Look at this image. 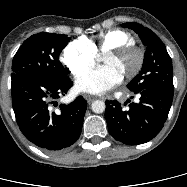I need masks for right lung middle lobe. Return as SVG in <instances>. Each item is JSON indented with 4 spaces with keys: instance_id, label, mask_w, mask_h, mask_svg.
Masks as SVG:
<instances>
[{
    "instance_id": "1",
    "label": "right lung middle lobe",
    "mask_w": 187,
    "mask_h": 187,
    "mask_svg": "<svg viewBox=\"0 0 187 187\" xmlns=\"http://www.w3.org/2000/svg\"><path fill=\"white\" fill-rule=\"evenodd\" d=\"M69 41L67 35L46 32L26 39L13 58L12 82L22 77L66 78L59 56Z\"/></svg>"
}]
</instances>
